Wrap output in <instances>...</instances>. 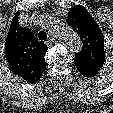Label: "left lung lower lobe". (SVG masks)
Masks as SVG:
<instances>
[{
	"mask_svg": "<svg viewBox=\"0 0 113 113\" xmlns=\"http://www.w3.org/2000/svg\"><path fill=\"white\" fill-rule=\"evenodd\" d=\"M76 68L80 72V74H82L85 77H92V76H95L97 74V71H92V70L83 68L81 66H76Z\"/></svg>",
	"mask_w": 113,
	"mask_h": 113,
	"instance_id": "0a47b994",
	"label": "left lung lower lobe"
}]
</instances>
